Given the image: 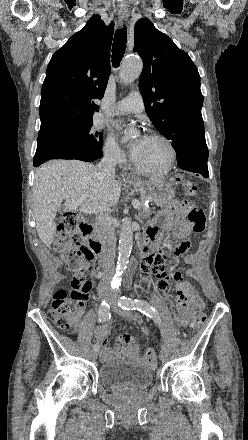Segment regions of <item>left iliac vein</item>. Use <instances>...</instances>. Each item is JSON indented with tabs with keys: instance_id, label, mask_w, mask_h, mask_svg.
<instances>
[{
	"instance_id": "obj_1",
	"label": "left iliac vein",
	"mask_w": 248,
	"mask_h": 440,
	"mask_svg": "<svg viewBox=\"0 0 248 440\" xmlns=\"http://www.w3.org/2000/svg\"><path fill=\"white\" fill-rule=\"evenodd\" d=\"M110 303H111V305H112L113 310H114L116 313H118V314H120V315H122V316L129 317V313L124 312L122 309H120V308L117 306L115 300L111 299V300H110ZM168 358H169L168 351H167V349H166L165 347H163L162 350H161V353H160V359H161L162 362H167V361H168Z\"/></svg>"
}]
</instances>
